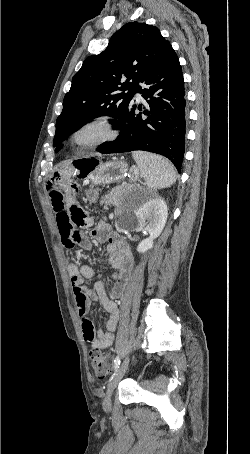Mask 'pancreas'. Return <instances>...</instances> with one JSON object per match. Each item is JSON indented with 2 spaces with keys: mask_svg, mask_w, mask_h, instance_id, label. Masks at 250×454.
I'll use <instances>...</instances> for the list:
<instances>
[{
  "mask_svg": "<svg viewBox=\"0 0 250 454\" xmlns=\"http://www.w3.org/2000/svg\"><path fill=\"white\" fill-rule=\"evenodd\" d=\"M119 201L120 191L118 188H114L102 198L100 204H104V209H108L110 206H117Z\"/></svg>",
  "mask_w": 250,
  "mask_h": 454,
  "instance_id": "cf45deb5",
  "label": "pancreas"
}]
</instances>
